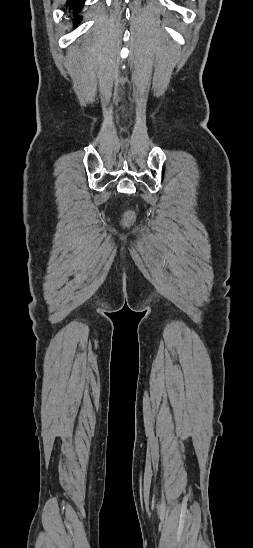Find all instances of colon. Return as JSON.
Segmentation results:
<instances>
[{
  "instance_id": "5ec220e1",
  "label": "colon",
  "mask_w": 253,
  "mask_h": 548,
  "mask_svg": "<svg viewBox=\"0 0 253 548\" xmlns=\"http://www.w3.org/2000/svg\"><path fill=\"white\" fill-rule=\"evenodd\" d=\"M131 221V215L128 214L126 217H125V222L126 223H129Z\"/></svg>"
}]
</instances>
